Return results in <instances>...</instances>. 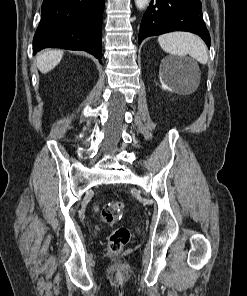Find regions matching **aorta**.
I'll list each match as a JSON object with an SVG mask.
<instances>
[{
  "mask_svg": "<svg viewBox=\"0 0 247 296\" xmlns=\"http://www.w3.org/2000/svg\"><path fill=\"white\" fill-rule=\"evenodd\" d=\"M150 0H135L138 9L142 10L149 4Z\"/></svg>",
  "mask_w": 247,
  "mask_h": 296,
  "instance_id": "aorta-1",
  "label": "aorta"
}]
</instances>
